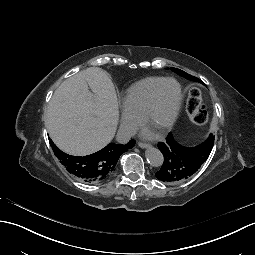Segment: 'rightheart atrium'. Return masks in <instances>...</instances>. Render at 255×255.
Wrapping results in <instances>:
<instances>
[{
  "label": "right heart atrium",
  "instance_id": "right-heart-atrium-1",
  "mask_svg": "<svg viewBox=\"0 0 255 255\" xmlns=\"http://www.w3.org/2000/svg\"><path fill=\"white\" fill-rule=\"evenodd\" d=\"M120 126H121L122 132L126 136H130L137 129L138 123L136 118H134L133 116H131L130 114L122 110L120 114Z\"/></svg>",
  "mask_w": 255,
  "mask_h": 255
}]
</instances>
